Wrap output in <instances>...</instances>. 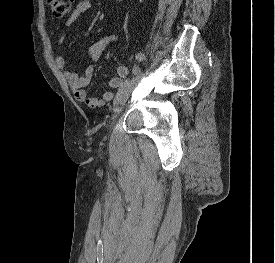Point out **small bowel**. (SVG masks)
<instances>
[{
    "label": "small bowel",
    "instance_id": "c3829d8e",
    "mask_svg": "<svg viewBox=\"0 0 275 263\" xmlns=\"http://www.w3.org/2000/svg\"><path fill=\"white\" fill-rule=\"evenodd\" d=\"M92 7V2L90 0L80 1L70 18L66 21V27H72L81 17H83ZM66 39L65 32H62L58 39V45L61 46ZM119 40L118 35L109 34L106 35L94 43H92L88 48V56L93 62H97L103 51L111 44L117 43ZM54 62L56 67L65 76L73 94L77 101L84 102L90 108L102 107L106 102L112 100L115 96V90L122 87L124 84V79L130 73V67L127 65H121L117 68V76L109 80L108 85L112 89L103 94L101 98L89 97L85 91V87L90 84L94 77V66L89 65L83 76H79L74 70H69L66 68L65 59L61 54H56L54 57Z\"/></svg>",
    "mask_w": 275,
    "mask_h": 263
}]
</instances>
